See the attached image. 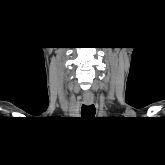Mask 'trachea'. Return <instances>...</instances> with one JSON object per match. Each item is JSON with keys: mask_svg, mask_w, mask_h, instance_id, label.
I'll use <instances>...</instances> for the list:
<instances>
[{"mask_svg": "<svg viewBox=\"0 0 165 165\" xmlns=\"http://www.w3.org/2000/svg\"><path fill=\"white\" fill-rule=\"evenodd\" d=\"M81 115L82 117H94L95 115L94 105H82Z\"/></svg>", "mask_w": 165, "mask_h": 165, "instance_id": "1", "label": "trachea"}]
</instances>
